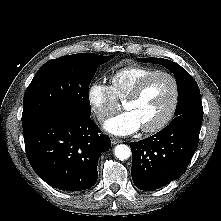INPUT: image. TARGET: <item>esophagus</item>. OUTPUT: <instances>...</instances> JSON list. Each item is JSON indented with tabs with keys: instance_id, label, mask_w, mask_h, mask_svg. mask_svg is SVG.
Listing matches in <instances>:
<instances>
[{
	"instance_id": "1",
	"label": "esophagus",
	"mask_w": 221,
	"mask_h": 221,
	"mask_svg": "<svg viewBox=\"0 0 221 221\" xmlns=\"http://www.w3.org/2000/svg\"><path fill=\"white\" fill-rule=\"evenodd\" d=\"M111 141H112V144H119V143H121L122 142V140L121 139H119V138H115V137H113L112 139H111Z\"/></svg>"
}]
</instances>
